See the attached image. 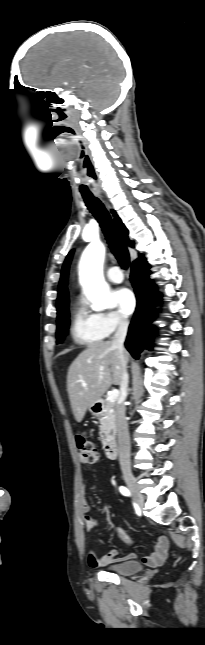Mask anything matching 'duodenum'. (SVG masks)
<instances>
[{"label":"duodenum","mask_w":205,"mask_h":645,"mask_svg":"<svg viewBox=\"0 0 205 645\" xmlns=\"http://www.w3.org/2000/svg\"><path fill=\"white\" fill-rule=\"evenodd\" d=\"M103 409V404L98 403L96 405V411L101 412ZM105 455L109 459H115L118 455V444L115 440H109L104 446Z\"/></svg>","instance_id":"1"}]
</instances>
